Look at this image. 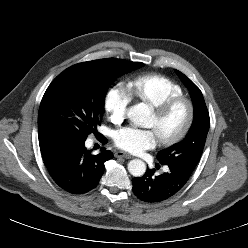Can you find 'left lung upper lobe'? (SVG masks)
Wrapping results in <instances>:
<instances>
[{"mask_svg":"<svg viewBox=\"0 0 248 248\" xmlns=\"http://www.w3.org/2000/svg\"><path fill=\"white\" fill-rule=\"evenodd\" d=\"M176 72L191 93L194 120L186 137L181 142L161 150L157 154V159L162 165H172L191 174L200 161L210 126V118L202 92L187 76L178 70Z\"/></svg>","mask_w":248,"mask_h":248,"instance_id":"left-lung-upper-lobe-1","label":"left lung upper lobe"}]
</instances>
